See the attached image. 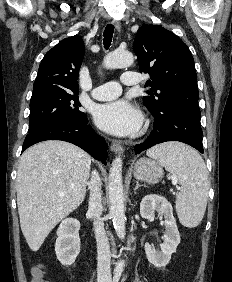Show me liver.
<instances>
[{
    "label": "liver",
    "instance_id": "6515ba94",
    "mask_svg": "<svg viewBox=\"0 0 232 282\" xmlns=\"http://www.w3.org/2000/svg\"><path fill=\"white\" fill-rule=\"evenodd\" d=\"M91 157L79 147L49 140L27 149L17 172V205L22 233L34 252L50 231L81 205Z\"/></svg>",
    "mask_w": 232,
    "mask_h": 282
}]
</instances>
